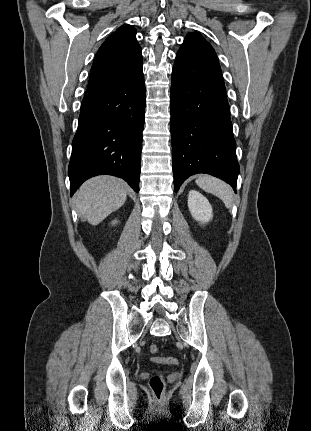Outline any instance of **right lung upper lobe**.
I'll list each match as a JSON object with an SVG mask.
<instances>
[{"label":"right lung upper lobe","mask_w":311,"mask_h":431,"mask_svg":"<svg viewBox=\"0 0 311 431\" xmlns=\"http://www.w3.org/2000/svg\"><path fill=\"white\" fill-rule=\"evenodd\" d=\"M142 64L136 29L124 24L99 48L91 68L88 87L126 78Z\"/></svg>","instance_id":"obj_1"}]
</instances>
